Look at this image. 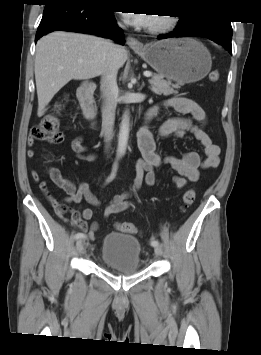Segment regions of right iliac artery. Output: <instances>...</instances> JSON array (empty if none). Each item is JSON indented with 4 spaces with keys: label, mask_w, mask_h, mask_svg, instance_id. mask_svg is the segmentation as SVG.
Segmentation results:
<instances>
[{
    "label": "right iliac artery",
    "mask_w": 261,
    "mask_h": 355,
    "mask_svg": "<svg viewBox=\"0 0 261 355\" xmlns=\"http://www.w3.org/2000/svg\"><path fill=\"white\" fill-rule=\"evenodd\" d=\"M116 170H117V163L115 162L114 166H113V170H112V173L111 175L108 177L107 179V183L112 181L113 178L115 177V174H116ZM86 238V235L84 233H81V232H78L77 234H75L74 236V239H85Z\"/></svg>",
    "instance_id": "82829eb1"
}]
</instances>
